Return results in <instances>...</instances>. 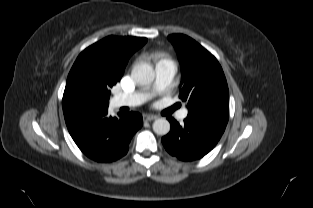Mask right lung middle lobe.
<instances>
[{"label":"right lung middle lobe","mask_w":313,"mask_h":208,"mask_svg":"<svg viewBox=\"0 0 313 208\" xmlns=\"http://www.w3.org/2000/svg\"><path fill=\"white\" fill-rule=\"evenodd\" d=\"M103 92L105 95V101L103 103L100 104V106H108L109 102V97H110V91L107 88H103Z\"/></svg>","instance_id":"dd1d6c3e"}]
</instances>
